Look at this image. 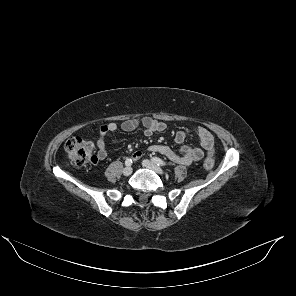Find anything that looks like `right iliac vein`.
Here are the masks:
<instances>
[{
    "label": "right iliac vein",
    "mask_w": 296,
    "mask_h": 296,
    "mask_svg": "<svg viewBox=\"0 0 296 296\" xmlns=\"http://www.w3.org/2000/svg\"><path fill=\"white\" fill-rule=\"evenodd\" d=\"M131 173H132V168L130 166H127L123 169V174L125 176H129V175H131Z\"/></svg>",
    "instance_id": "63e3f726"
}]
</instances>
